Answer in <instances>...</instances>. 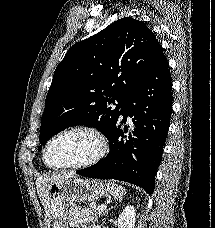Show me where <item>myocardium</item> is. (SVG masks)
<instances>
[{
	"mask_svg": "<svg viewBox=\"0 0 215 228\" xmlns=\"http://www.w3.org/2000/svg\"><path fill=\"white\" fill-rule=\"evenodd\" d=\"M71 132H85L90 134L95 142H96V149L93 152L91 156L88 158L84 159L83 161L77 162V163H72L60 167H52L50 166L47 161H46V153L52 144L54 140L59 138L60 136L71 133ZM108 150V140L105 134L97 127L93 125H88V124H76V125H71L68 126L60 131H58L56 134H54L45 144L43 150H42V161L45 167L52 171H64V170H70V169H82V168H87L90 167L97 162H99L104 155L106 154Z\"/></svg>",
	"mask_w": 215,
	"mask_h": 228,
	"instance_id": "1",
	"label": "myocardium"
}]
</instances>
